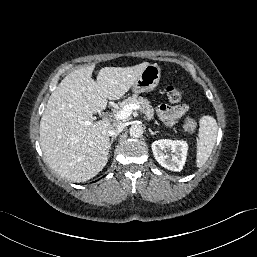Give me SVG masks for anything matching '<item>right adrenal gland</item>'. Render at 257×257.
Here are the masks:
<instances>
[{"label": "right adrenal gland", "instance_id": "right-adrenal-gland-1", "mask_svg": "<svg viewBox=\"0 0 257 257\" xmlns=\"http://www.w3.org/2000/svg\"><path fill=\"white\" fill-rule=\"evenodd\" d=\"M117 136H118V135H115V136H113V137L111 138V140H110V146L112 145L113 141L116 139Z\"/></svg>", "mask_w": 257, "mask_h": 257}]
</instances>
